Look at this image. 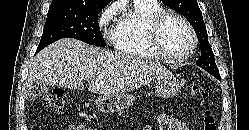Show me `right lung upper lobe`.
<instances>
[{"mask_svg": "<svg viewBox=\"0 0 249 130\" xmlns=\"http://www.w3.org/2000/svg\"><path fill=\"white\" fill-rule=\"evenodd\" d=\"M110 0H52L51 5L54 4H73L80 6H106Z\"/></svg>", "mask_w": 249, "mask_h": 130, "instance_id": "obj_1", "label": "right lung upper lobe"}]
</instances>
